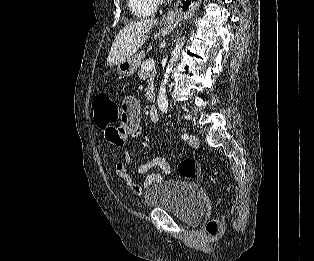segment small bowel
I'll return each instance as SVG.
<instances>
[{
  "instance_id": "c3829d8e",
  "label": "small bowel",
  "mask_w": 314,
  "mask_h": 261,
  "mask_svg": "<svg viewBox=\"0 0 314 261\" xmlns=\"http://www.w3.org/2000/svg\"><path fill=\"white\" fill-rule=\"evenodd\" d=\"M144 129L140 125V104L139 101L132 96L126 97L121 105V124H109L104 131L105 140H110L109 148H124L126 136L133 139L143 134ZM132 162L129 151H125L123 160L114 165L113 171L124 184L130 189L134 198H139L152 185L158 184L163 180L161 174L151 172L154 168L162 170L165 176L171 174V167L167 160L163 157H155L148 162L140 164L136 168V176L141 178L143 187L138 185L133 177L129 174L127 166Z\"/></svg>"
}]
</instances>
